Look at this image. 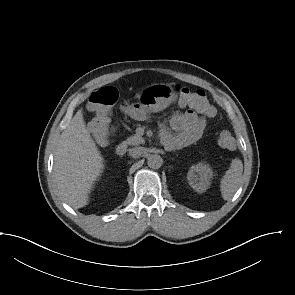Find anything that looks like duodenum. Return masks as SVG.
Wrapping results in <instances>:
<instances>
[{
  "label": "duodenum",
  "instance_id": "1",
  "mask_svg": "<svg viewBox=\"0 0 295 295\" xmlns=\"http://www.w3.org/2000/svg\"><path fill=\"white\" fill-rule=\"evenodd\" d=\"M115 153L118 156H123L126 153V145L124 143H120L115 147Z\"/></svg>",
  "mask_w": 295,
  "mask_h": 295
}]
</instances>
